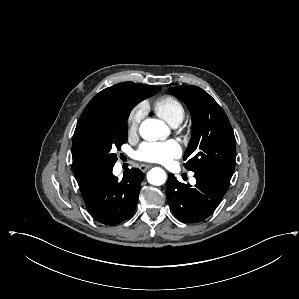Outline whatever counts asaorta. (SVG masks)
<instances>
[{
    "mask_svg": "<svg viewBox=\"0 0 299 299\" xmlns=\"http://www.w3.org/2000/svg\"><path fill=\"white\" fill-rule=\"evenodd\" d=\"M139 132L143 139L151 141L165 138L169 134V128L163 121L150 118L141 123ZM147 180L155 186L163 185L166 181V173L159 167L152 168L147 173Z\"/></svg>",
    "mask_w": 299,
    "mask_h": 299,
    "instance_id": "762f6f07",
    "label": "aorta"
}]
</instances>
